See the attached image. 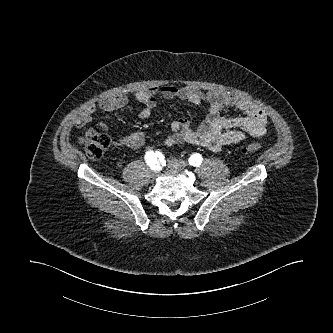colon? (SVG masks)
<instances>
[{
    "label": "colon",
    "instance_id": "1",
    "mask_svg": "<svg viewBox=\"0 0 333 333\" xmlns=\"http://www.w3.org/2000/svg\"><path fill=\"white\" fill-rule=\"evenodd\" d=\"M87 156L92 160L100 159L104 152L110 147L111 139L105 132L90 129L82 138ZM262 147L259 143H250L243 148V153L252 155L259 153Z\"/></svg>",
    "mask_w": 333,
    "mask_h": 333
}]
</instances>
